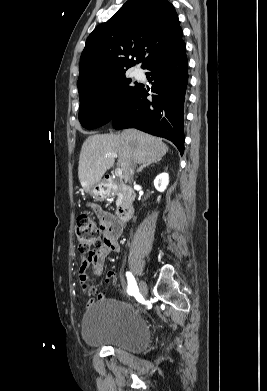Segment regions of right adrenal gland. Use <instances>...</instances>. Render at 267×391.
Here are the masks:
<instances>
[{
    "instance_id": "obj_1",
    "label": "right adrenal gland",
    "mask_w": 267,
    "mask_h": 391,
    "mask_svg": "<svg viewBox=\"0 0 267 391\" xmlns=\"http://www.w3.org/2000/svg\"><path fill=\"white\" fill-rule=\"evenodd\" d=\"M158 161H159V160H158ZM153 163H157V161L144 163V164L141 165L140 168L137 170V173L142 172V170H143L144 168L149 167V166L152 165Z\"/></svg>"
}]
</instances>
